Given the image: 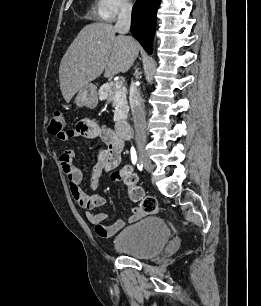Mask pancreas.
<instances>
[{
    "label": "pancreas",
    "instance_id": "cf45deb5",
    "mask_svg": "<svg viewBox=\"0 0 261 306\" xmlns=\"http://www.w3.org/2000/svg\"><path fill=\"white\" fill-rule=\"evenodd\" d=\"M98 95L100 99H107L108 102H112L114 111V121L119 122L127 118L129 107L127 102V90L125 87L117 88L115 83L103 84Z\"/></svg>",
    "mask_w": 261,
    "mask_h": 306
}]
</instances>
